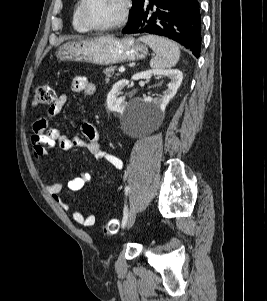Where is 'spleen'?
<instances>
[{
    "instance_id": "obj_1",
    "label": "spleen",
    "mask_w": 267,
    "mask_h": 301,
    "mask_svg": "<svg viewBox=\"0 0 267 301\" xmlns=\"http://www.w3.org/2000/svg\"><path fill=\"white\" fill-rule=\"evenodd\" d=\"M139 40L148 45L155 53V56L150 61L151 68H171L179 61V47L171 40L155 35L142 36Z\"/></svg>"
}]
</instances>
